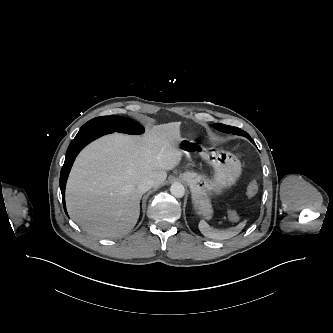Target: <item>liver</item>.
<instances>
[{
  "label": "liver",
  "mask_w": 333,
  "mask_h": 333,
  "mask_svg": "<svg viewBox=\"0 0 333 333\" xmlns=\"http://www.w3.org/2000/svg\"><path fill=\"white\" fill-rule=\"evenodd\" d=\"M180 124L155 125L142 136L113 133L85 147L66 185L70 217L98 237L129 233L140 214L139 182L149 178L157 187L179 163Z\"/></svg>",
  "instance_id": "obj_1"
}]
</instances>
